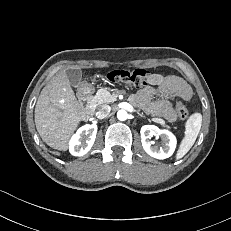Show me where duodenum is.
Masks as SVG:
<instances>
[{
  "instance_id": "obj_1",
  "label": "duodenum",
  "mask_w": 231,
  "mask_h": 231,
  "mask_svg": "<svg viewBox=\"0 0 231 231\" xmlns=\"http://www.w3.org/2000/svg\"><path fill=\"white\" fill-rule=\"evenodd\" d=\"M79 100L82 104V113L84 115H87L92 112L93 105L91 102V92L87 88L81 89L79 93Z\"/></svg>"
}]
</instances>
